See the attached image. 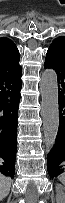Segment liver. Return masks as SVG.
Listing matches in <instances>:
<instances>
[{"label":"liver","mask_w":65,"mask_h":203,"mask_svg":"<svg viewBox=\"0 0 65 203\" xmlns=\"http://www.w3.org/2000/svg\"><path fill=\"white\" fill-rule=\"evenodd\" d=\"M11 179L3 175L0 176V199H4L10 192Z\"/></svg>","instance_id":"liver-1"}]
</instances>
